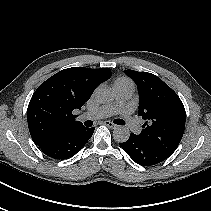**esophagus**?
<instances>
[{"label": "esophagus", "mask_w": 211, "mask_h": 211, "mask_svg": "<svg viewBox=\"0 0 211 211\" xmlns=\"http://www.w3.org/2000/svg\"><path fill=\"white\" fill-rule=\"evenodd\" d=\"M104 125H106L107 127L111 128V129H115L117 127V125H115L113 122L111 121H104Z\"/></svg>", "instance_id": "34e87169"}]
</instances>
